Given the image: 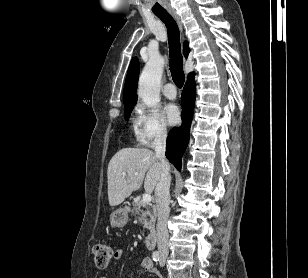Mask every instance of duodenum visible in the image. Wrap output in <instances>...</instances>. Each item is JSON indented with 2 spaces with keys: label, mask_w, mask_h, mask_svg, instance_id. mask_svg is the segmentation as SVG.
Returning <instances> with one entry per match:
<instances>
[{
  "label": "duodenum",
  "mask_w": 308,
  "mask_h": 278,
  "mask_svg": "<svg viewBox=\"0 0 308 278\" xmlns=\"http://www.w3.org/2000/svg\"><path fill=\"white\" fill-rule=\"evenodd\" d=\"M157 243V234L156 232H150L146 236V245L148 248H154Z\"/></svg>",
  "instance_id": "obj_1"
}]
</instances>
